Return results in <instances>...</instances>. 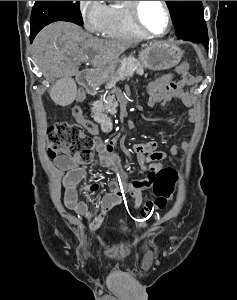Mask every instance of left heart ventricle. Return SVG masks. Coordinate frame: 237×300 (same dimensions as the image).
<instances>
[{
  "mask_svg": "<svg viewBox=\"0 0 237 300\" xmlns=\"http://www.w3.org/2000/svg\"><path fill=\"white\" fill-rule=\"evenodd\" d=\"M141 19L143 24L156 34H161L166 29V15L160 1H144L141 8Z\"/></svg>",
  "mask_w": 237,
  "mask_h": 300,
  "instance_id": "left-heart-ventricle-1",
  "label": "left heart ventricle"
}]
</instances>
